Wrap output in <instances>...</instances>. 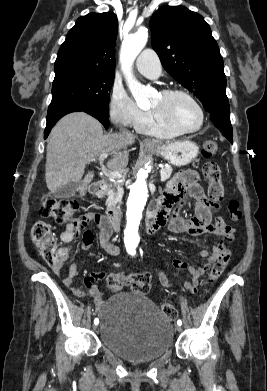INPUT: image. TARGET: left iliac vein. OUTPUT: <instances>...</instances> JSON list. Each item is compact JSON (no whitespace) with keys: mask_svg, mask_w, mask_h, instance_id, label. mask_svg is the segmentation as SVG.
Returning <instances> with one entry per match:
<instances>
[{"mask_svg":"<svg viewBox=\"0 0 267 391\" xmlns=\"http://www.w3.org/2000/svg\"><path fill=\"white\" fill-rule=\"evenodd\" d=\"M175 328H176V330H177V331H181V329H182V328H181V326H180V325H178V324L176 325V327H175Z\"/></svg>","mask_w":267,"mask_h":391,"instance_id":"obj_1","label":"left iliac vein"}]
</instances>
